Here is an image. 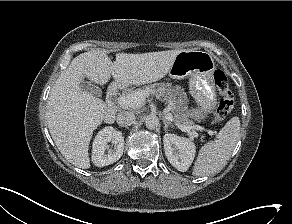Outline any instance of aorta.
Returning <instances> with one entry per match:
<instances>
[{
  "label": "aorta",
  "mask_w": 292,
  "mask_h": 224,
  "mask_svg": "<svg viewBox=\"0 0 292 224\" xmlns=\"http://www.w3.org/2000/svg\"><path fill=\"white\" fill-rule=\"evenodd\" d=\"M145 125L148 129H155L158 127L159 125V120L156 116L154 115H149L147 118H146V121H145Z\"/></svg>",
  "instance_id": "1"
}]
</instances>
